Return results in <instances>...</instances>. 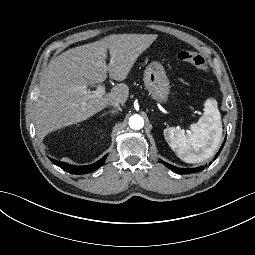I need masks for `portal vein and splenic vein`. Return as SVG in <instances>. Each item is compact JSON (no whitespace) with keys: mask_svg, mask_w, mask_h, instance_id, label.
Listing matches in <instances>:
<instances>
[{"mask_svg":"<svg viewBox=\"0 0 255 255\" xmlns=\"http://www.w3.org/2000/svg\"><path fill=\"white\" fill-rule=\"evenodd\" d=\"M113 60V59H112ZM83 94L86 99L101 98L105 94V86H98L95 91H87V87H83Z\"/></svg>","mask_w":255,"mask_h":255,"instance_id":"18ae733b","label":"portal vein and splenic vein"}]
</instances>
